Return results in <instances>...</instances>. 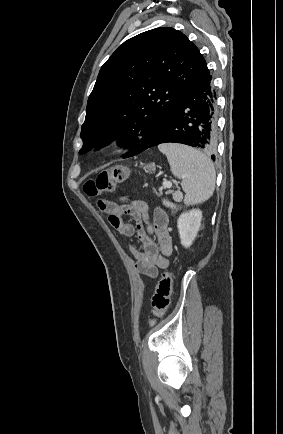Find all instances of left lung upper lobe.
Instances as JSON below:
<instances>
[{"label":"left lung upper lobe","instance_id":"1","mask_svg":"<svg viewBox=\"0 0 283 434\" xmlns=\"http://www.w3.org/2000/svg\"><path fill=\"white\" fill-rule=\"evenodd\" d=\"M209 73L199 49L170 27L125 41L101 67L86 108L80 154L118 137L123 158L151 143L180 96Z\"/></svg>","mask_w":283,"mask_h":434}]
</instances>
